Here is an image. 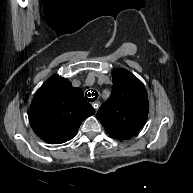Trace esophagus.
<instances>
[{
  "instance_id": "esophagus-1",
  "label": "esophagus",
  "mask_w": 193,
  "mask_h": 193,
  "mask_svg": "<svg viewBox=\"0 0 193 193\" xmlns=\"http://www.w3.org/2000/svg\"><path fill=\"white\" fill-rule=\"evenodd\" d=\"M88 92L90 93V94H88ZM87 92V96H88V98H91V100H94V102H93V107L95 108V110L97 111L98 109H99V103H98V98H99V92L98 91H96V90H90V91H88Z\"/></svg>"
}]
</instances>
